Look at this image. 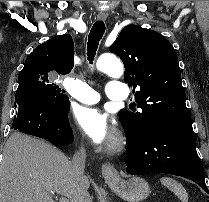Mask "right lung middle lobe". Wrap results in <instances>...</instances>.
<instances>
[{"label":"right lung middle lobe","mask_w":209,"mask_h":202,"mask_svg":"<svg viewBox=\"0 0 209 202\" xmlns=\"http://www.w3.org/2000/svg\"><path fill=\"white\" fill-rule=\"evenodd\" d=\"M19 86L31 87L39 98L51 102L60 110H68L69 98L57 85L50 84L48 74H24L18 76Z\"/></svg>","instance_id":"dd1d6c3e"}]
</instances>
